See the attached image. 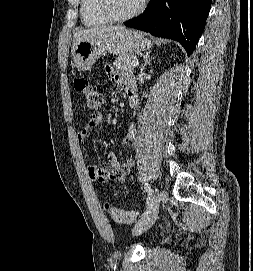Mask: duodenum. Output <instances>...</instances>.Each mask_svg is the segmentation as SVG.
<instances>
[{
  "label": "duodenum",
  "mask_w": 253,
  "mask_h": 271,
  "mask_svg": "<svg viewBox=\"0 0 253 271\" xmlns=\"http://www.w3.org/2000/svg\"><path fill=\"white\" fill-rule=\"evenodd\" d=\"M135 104V95L133 93H128V106L132 108Z\"/></svg>",
  "instance_id": "obj_1"
}]
</instances>
